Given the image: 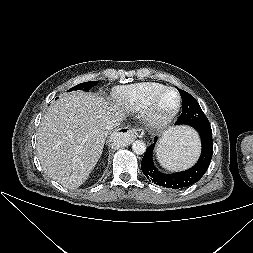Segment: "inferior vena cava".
<instances>
[{
    "mask_svg": "<svg viewBox=\"0 0 253 253\" xmlns=\"http://www.w3.org/2000/svg\"><path fill=\"white\" fill-rule=\"evenodd\" d=\"M122 121L121 117H117L115 120L111 121L109 125L107 126L108 129H113L114 127H117L120 125Z\"/></svg>",
    "mask_w": 253,
    "mask_h": 253,
    "instance_id": "obj_1",
    "label": "inferior vena cava"
}]
</instances>
